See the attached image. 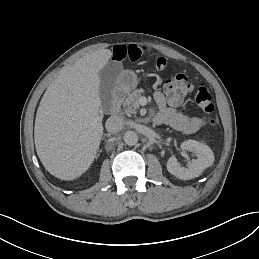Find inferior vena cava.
<instances>
[{
	"instance_id": "602c4592",
	"label": "inferior vena cava",
	"mask_w": 259,
	"mask_h": 259,
	"mask_svg": "<svg viewBox=\"0 0 259 259\" xmlns=\"http://www.w3.org/2000/svg\"><path fill=\"white\" fill-rule=\"evenodd\" d=\"M124 127V119L121 116H111L106 121V129L111 133H118Z\"/></svg>"
}]
</instances>
